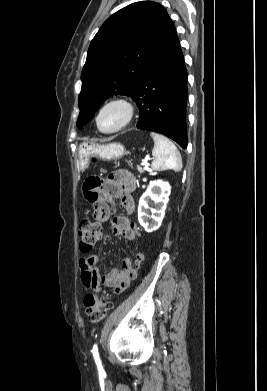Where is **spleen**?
<instances>
[{"label": "spleen", "mask_w": 267, "mask_h": 391, "mask_svg": "<svg viewBox=\"0 0 267 391\" xmlns=\"http://www.w3.org/2000/svg\"><path fill=\"white\" fill-rule=\"evenodd\" d=\"M150 135L154 140L152 170L162 171L172 169L177 172L181 171L182 159L176 146L161 134L151 132Z\"/></svg>", "instance_id": "obj_1"}]
</instances>
